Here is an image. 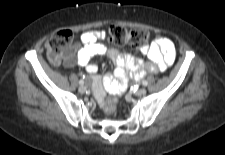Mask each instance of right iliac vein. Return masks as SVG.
I'll return each instance as SVG.
<instances>
[{"label": "right iliac vein", "mask_w": 225, "mask_h": 155, "mask_svg": "<svg viewBox=\"0 0 225 155\" xmlns=\"http://www.w3.org/2000/svg\"><path fill=\"white\" fill-rule=\"evenodd\" d=\"M86 90H87V88H86V86H84V85H81V86L79 87V89H78V91H79L81 94L85 93Z\"/></svg>", "instance_id": "right-iliac-vein-1"}]
</instances>
